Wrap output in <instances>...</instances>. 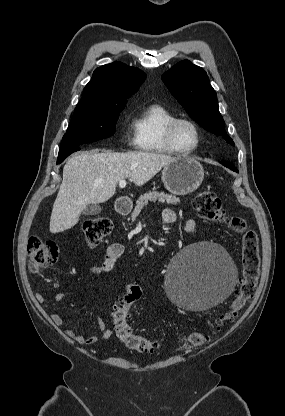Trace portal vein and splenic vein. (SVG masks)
<instances>
[{"label": "portal vein and splenic vein", "instance_id": "portal-vein-and-splenic-vein-1", "mask_svg": "<svg viewBox=\"0 0 285 416\" xmlns=\"http://www.w3.org/2000/svg\"><path fill=\"white\" fill-rule=\"evenodd\" d=\"M125 186H126V180H120L119 188H125Z\"/></svg>", "mask_w": 285, "mask_h": 416}]
</instances>
